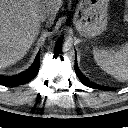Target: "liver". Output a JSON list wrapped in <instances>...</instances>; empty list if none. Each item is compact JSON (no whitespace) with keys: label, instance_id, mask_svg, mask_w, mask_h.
<instances>
[{"label":"liver","instance_id":"liver-1","mask_svg":"<svg viewBox=\"0 0 128 128\" xmlns=\"http://www.w3.org/2000/svg\"><path fill=\"white\" fill-rule=\"evenodd\" d=\"M62 0H0V69L22 59L41 27L38 16L51 25Z\"/></svg>","mask_w":128,"mask_h":128}]
</instances>
